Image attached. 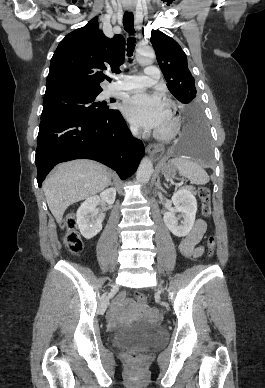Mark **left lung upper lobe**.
<instances>
[{
    "instance_id": "5c2ea615",
    "label": "left lung upper lobe",
    "mask_w": 265,
    "mask_h": 388,
    "mask_svg": "<svg viewBox=\"0 0 265 388\" xmlns=\"http://www.w3.org/2000/svg\"><path fill=\"white\" fill-rule=\"evenodd\" d=\"M151 43L170 92L183 104L185 110L200 108L196 98L194 78L188 69L187 57L180 45L160 31L153 32Z\"/></svg>"
}]
</instances>
